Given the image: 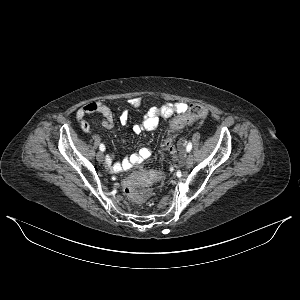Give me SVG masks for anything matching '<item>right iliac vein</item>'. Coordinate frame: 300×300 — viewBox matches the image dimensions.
I'll return each mask as SVG.
<instances>
[{
  "mask_svg": "<svg viewBox=\"0 0 300 300\" xmlns=\"http://www.w3.org/2000/svg\"><path fill=\"white\" fill-rule=\"evenodd\" d=\"M96 158L99 162H103L104 161V154L103 152H98L97 155H96Z\"/></svg>",
  "mask_w": 300,
  "mask_h": 300,
  "instance_id": "obj_1",
  "label": "right iliac vein"
}]
</instances>
